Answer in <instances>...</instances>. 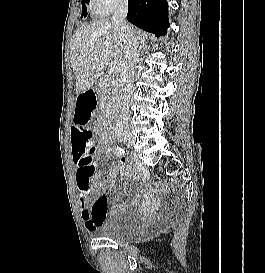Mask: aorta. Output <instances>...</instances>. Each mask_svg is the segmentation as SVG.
<instances>
[{
  "instance_id": "aorta-1",
  "label": "aorta",
  "mask_w": 265,
  "mask_h": 273,
  "mask_svg": "<svg viewBox=\"0 0 265 273\" xmlns=\"http://www.w3.org/2000/svg\"><path fill=\"white\" fill-rule=\"evenodd\" d=\"M116 111L119 113L122 110V104H123V99H122V94L119 92L116 96Z\"/></svg>"
}]
</instances>
